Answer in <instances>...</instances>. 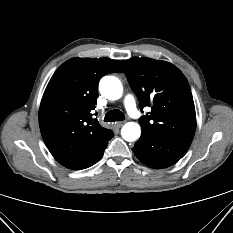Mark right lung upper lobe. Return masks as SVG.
I'll use <instances>...</instances> for the list:
<instances>
[{"mask_svg":"<svg viewBox=\"0 0 233 233\" xmlns=\"http://www.w3.org/2000/svg\"><path fill=\"white\" fill-rule=\"evenodd\" d=\"M113 72H122L117 60L72 58L50 79L40 105L39 126L47 148L64 167L81 170L95 164L113 133L91 115L99 80Z\"/></svg>","mask_w":233,"mask_h":233,"instance_id":"right-lung-upper-lobe-1","label":"right lung upper lobe"}]
</instances>
